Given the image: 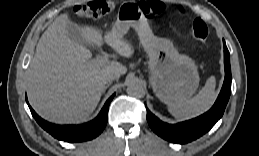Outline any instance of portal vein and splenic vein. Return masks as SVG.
I'll use <instances>...</instances> for the list:
<instances>
[{
    "instance_id": "1",
    "label": "portal vein and splenic vein",
    "mask_w": 259,
    "mask_h": 156,
    "mask_svg": "<svg viewBox=\"0 0 259 156\" xmlns=\"http://www.w3.org/2000/svg\"><path fill=\"white\" fill-rule=\"evenodd\" d=\"M109 62L108 60V55L107 54H103L101 56H99L96 59H92L90 61V63L94 66H98V67H102L104 65H106Z\"/></svg>"
}]
</instances>
